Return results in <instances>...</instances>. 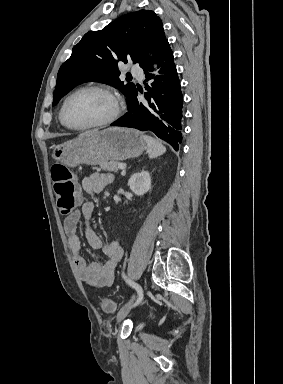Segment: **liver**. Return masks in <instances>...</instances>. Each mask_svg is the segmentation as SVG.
Returning a JSON list of instances; mask_svg holds the SVG:
<instances>
[{"label": "liver", "mask_w": 283, "mask_h": 384, "mask_svg": "<svg viewBox=\"0 0 283 384\" xmlns=\"http://www.w3.org/2000/svg\"><path fill=\"white\" fill-rule=\"evenodd\" d=\"M88 134H92V132H84V134H80V136H88Z\"/></svg>", "instance_id": "1"}]
</instances>
